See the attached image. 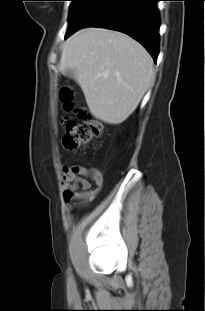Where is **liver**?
I'll list each match as a JSON object with an SVG mask.
<instances>
[{"label":"liver","mask_w":205,"mask_h":311,"mask_svg":"<svg viewBox=\"0 0 205 311\" xmlns=\"http://www.w3.org/2000/svg\"><path fill=\"white\" fill-rule=\"evenodd\" d=\"M58 69L74 71L91 114L109 124L125 121L154 81L153 60L144 47L103 28L72 35L63 45Z\"/></svg>","instance_id":"1"}]
</instances>
